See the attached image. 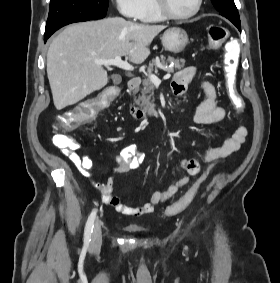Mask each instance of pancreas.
Segmentation results:
<instances>
[{
    "mask_svg": "<svg viewBox=\"0 0 280 283\" xmlns=\"http://www.w3.org/2000/svg\"><path fill=\"white\" fill-rule=\"evenodd\" d=\"M169 64H173V66L169 67ZM185 65L184 59L179 58H173V57H164L161 56L160 59H153L148 67V77L145 78L142 82L143 88L141 89V96L138 97V100L136 101L137 104H140V107L148 112V113H154L155 112V104H154V85L152 81L150 80V75L153 72L154 69L162 66L163 69L168 72H174L175 69H181ZM168 66V67H166ZM153 97V98H152Z\"/></svg>",
    "mask_w": 280,
    "mask_h": 283,
    "instance_id": "1",
    "label": "pancreas"
}]
</instances>
